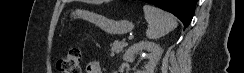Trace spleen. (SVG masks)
Listing matches in <instances>:
<instances>
[{
	"label": "spleen",
	"mask_w": 244,
	"mask_h": 73,
	"mask_svg": "<svg viewBox=\"0 0 244 73\" xmlns=\"http://www.w3.org/2000/svg\"><path fill=\"white\" fill-rule=\"evenodd\" d=\"M144 16L148 23L146 36L149 39H159L177 27L175 17L153 5L143 6Z\"/></svg>",
	"instance_id": "obj_1"
}]
</instances>
